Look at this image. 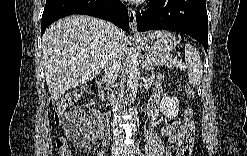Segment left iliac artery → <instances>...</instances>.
<instances>
[{
	"instance_id": "obj_1",
	"label": "left iliac artery",
	"mask_w": 247,
	"mask_h": 156,
	"mask_svg": "<svg viewBox=\"0 0 247 156\" xmlns=\"http://www.w3.org/2000/svg\"><path fill=\"white\" fill-rule=\"evenodd\" d=\"M138 153H139V155H142L139 149H138Z\"/></svg>"
}]
</instances>
